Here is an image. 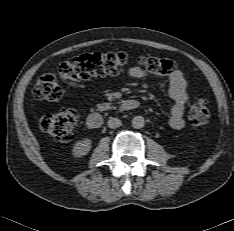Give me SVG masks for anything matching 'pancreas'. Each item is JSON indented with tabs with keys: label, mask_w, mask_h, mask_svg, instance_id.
<instances>
[{
	"label": "pancreas",
	"mask_w": 234,
	"mask_h": 231,
	"mask_svg": "<svg viewBox=\"0 0 234 231\" xmlns=\"http://www.w3.org/2000/svg\"><path fill=\"white\" fill-rule=\"evenodd\" d=\"M97 108L99 111H105L111 108V103H102V104H98Z\"/></svg>",
	"instance_id": "cf45deb5"
}]
</instances>
